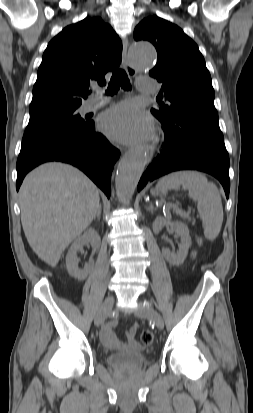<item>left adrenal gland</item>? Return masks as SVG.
Wrapping results in <instances>:
<instances>
[{
	"label": "left adrenal gland",
	"mask_w": 253,
	"mask_h": 413,
	"mask_svg": "<svg viewBox=\"0 0 253 413\" xmlns=\"http://www.w3.org/2000/svg\"><path fill=\"white\" fill-rule=\"evenodd\" d=\"M147 210H149V211H151V212H152V210H153V206H152V205L148 206V207H147Z\"/></svg>",
	"instance_id": "left-adrenal-gland-1"
}]
</instances>
